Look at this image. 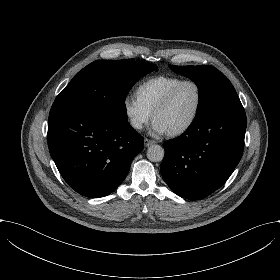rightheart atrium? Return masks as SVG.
Wrapping results in <instances>:
<instances>
[{
  "instance_id": "right-heart-atrium-1",
  "label": "right heart atrium",
  "mask_w": 280,
  "mask_h": 280,
  "mask_svg": "<svg viewBox=\"0 0 280 280\" xmlns=\"http://www.w3.org/2000/svg\"><path fill=\"white\" fill-rule=\"evenodd\" d=\"M124 115L130 127L135 131H141L152 119L150 112L135 96H128L123 101Z\"/></svg>"
}]
</instances>
